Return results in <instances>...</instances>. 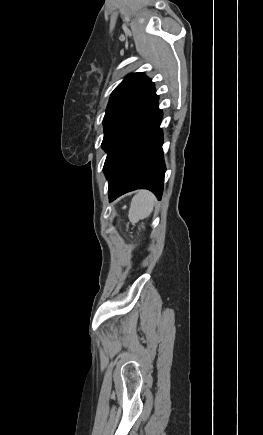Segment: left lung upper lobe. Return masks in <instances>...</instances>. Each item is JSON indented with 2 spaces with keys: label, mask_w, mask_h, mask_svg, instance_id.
<instances>
[{
  "label": "left lung upper lobe",
  "mask_w": 263,
  "mask_h": 435,
  "mask_svg": "<svg viewBox=\"0 0 263 435\" xmlns=\"http://www.w3.org/2000/svg\"><path fill=\"white\" fill-rule=\"evenodd\" d=\"M157 98L153 82L144 73L129 74L110 96L103 119V149L108 152L124 129Z\"/></svg>",
  "instance_id": "5c2ea615"
}]
</instances>
